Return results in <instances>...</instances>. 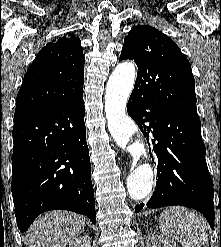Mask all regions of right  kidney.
<instances>
[{"label":"right kidney","mask_w":221,"mask_h":247,"mask_svg":"<svg viewBox=\"0 0 221 247\" xmlns=\"http://www.w3.org/2000/svg\"><path fill=\"white\" fill-rule=\"evenodd\" d=\"M69 247H91V239L88 235L72 240Z\"/></svg>","instance_id":"obj_1"}]
</instances>
